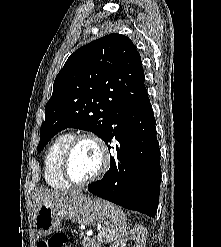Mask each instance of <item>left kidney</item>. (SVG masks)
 I'll use <instances>...</instances> for the list:
<instances>
[{"mask_svg": "<svg viewBox=\"0 0 221 247\" xmlns=\"http://www.w3.org/2000/svg\"><path fill=\"white\" fill-rule=\"evenodd\" d=\"M147 237V229L143 226H138L129 232L125 233L112 247H125L129 239L135 240L133 247H145Z\"/></svg>", "mask_w": 221, "mask_h": 247, "instance_id": "5707ae66", "label": "left kidney"}]
</instances>
